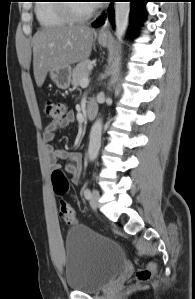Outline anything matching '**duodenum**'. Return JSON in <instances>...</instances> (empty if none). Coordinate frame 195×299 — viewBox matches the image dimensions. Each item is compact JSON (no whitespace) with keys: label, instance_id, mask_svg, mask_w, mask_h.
I'll return each mask as SVG.
<instances>
[{"label":"duodenum","instance_id":"duodenum-1","mask_svg":"<svg viewBox=\"0 0 195 299\" xmlns=\"http://www.w3.org/2000/svg\"><path fill=\"white\" fill-rule=\"evenodd\" d=\"M96 114H97V104L94 102H89L85 108L86 119L91 121L96 117Z\"/></svg>","mask_w":195,"mask_h":299}]
</instances>
